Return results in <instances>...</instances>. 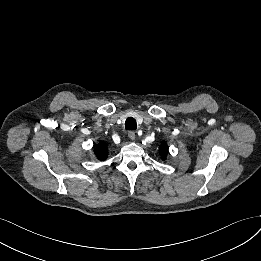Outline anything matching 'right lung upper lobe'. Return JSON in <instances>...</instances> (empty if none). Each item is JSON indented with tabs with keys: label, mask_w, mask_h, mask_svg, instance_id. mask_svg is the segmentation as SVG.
Listing matches in <instances>:
<instances>
[{
	"label": "right lung upper lobe",
	"mask_w": 261,
	"mask_h": 261,
	"mask_svg": "<svg viewBox=\"0 0 261 261\" xmlns=\"http://www.w3.org/2000/svg\"><path fill=\"white\" fill-rule=\"evenodd\" d=\"M95 154L98 159L105 160L108 155L107 145L101 142L95 149Z\"/></svg>",
	"instance_id": "cb5924a9"
}]
</instances>
